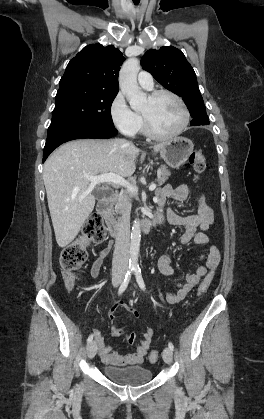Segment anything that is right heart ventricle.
I'll return each mask as SVG.
<instances>
[{
  "label": "right heart ventricle",
  "instance_id": "e07e8e85",
  "mask_svg": "<svg viewBox=\"0 0 264 419\" xmlns=\"http://www.w3.org/2000/svg\"><path fill=\"white\" fill-rule=\"evenodd\" d=\"M142 118V117H141ZM141 129H144V122H143V118H142V126Z\"/></svg>",
  "mask_w": 264,
  "mask_h": 419
}]
</instances>
